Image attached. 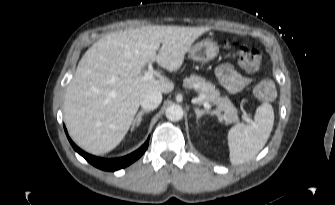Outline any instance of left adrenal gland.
<instances>
[{"instance_id":"1","label":"left adrenal gland","mask_w":335,"mask_h":205,"mask_svg":"<svg viewBox=\"0 0 335 205\" xmlns=\"http://www.w3.org/2000/svg\"><path fill=\"white\" fill-rule=\"evenodd\" d=\"M196 118L199 120L204 114H212L209 110H200L198 107L195 108Z\"/></svg>"}]
</instances>
